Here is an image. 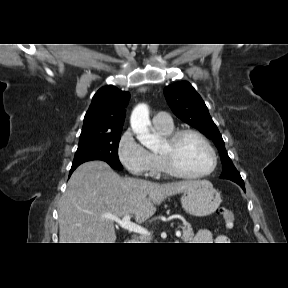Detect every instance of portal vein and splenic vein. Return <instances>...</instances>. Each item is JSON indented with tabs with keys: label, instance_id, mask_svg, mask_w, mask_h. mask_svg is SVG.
I'll return each instance as SVG.
<instances>
[{
	"label": "portal vein and splenic vein",
	"instance_id": "portal-vein-and-splenic-vein-1",
	"mask_svg": "<svg viewBox=\"0 0 288 288\" xmlns=\"http://www.w3.org/2000/svg\"><path fill=\"white\" fill-rule=\"evenodd\" d=\"M106 218L115 221L120 227L130 231V232H134V233H138L144 236L149 235V231L142 227L139 224L133 223L131 221V215L127 214L125 215L122 219L114 216V215H108L106 216ZM176 236L180 237L181 236V232L180 231H176Z\"/></svg>",
	"mask_w": 288,
	"mask_h": 288
}]
</instances>
